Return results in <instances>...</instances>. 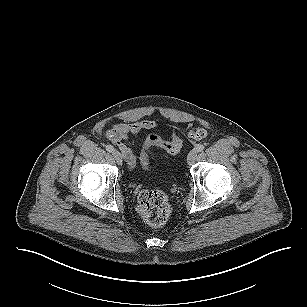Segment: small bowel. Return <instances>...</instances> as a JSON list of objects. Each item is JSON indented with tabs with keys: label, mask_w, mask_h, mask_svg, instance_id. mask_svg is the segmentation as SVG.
<instances>
[{
	"label": "small bowel",
	"mask_w": 307,
	"mask_h": 307,
	"mask_svg": "<svg viewBox=\"0 0 307 307\" xmlns=\"http://www.w3.org/2000/svg\"><path fill=\"white\" fill-rule=\"evenodd\" d=\"M156 127L153 120H139L131 123H117L108 130V138L114 142L125 156L129 166L135 163L132 151V138L136 137L142 130H151Z\"/></svg>",
	"instance_id": "c3829d8e"
}]
</instances>
